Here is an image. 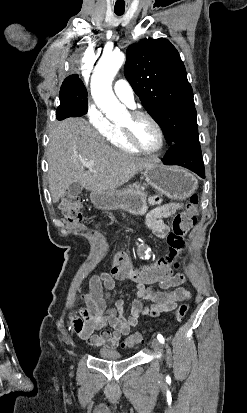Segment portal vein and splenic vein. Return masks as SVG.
<instances>
[{"mask_svg": "<svg viewBox=\"0 0 247 413\" xmlns=\"http://www.w3.org/2000/svg\"><path fill=\"white\" fill-rule=\"evenodd\" d=\"M84 166H94V160H81Z\"/></svg>", "mask_w": 247, "mask_h": 413, "instance_id": "obj_1", "label": "portal vein and splenic vein"}]
</instances>
